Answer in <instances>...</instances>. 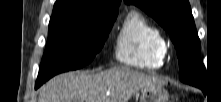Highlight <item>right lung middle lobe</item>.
Returning <instances> with one entry per match:
<instances>
[{"instance_id": "obj_1", "label": "right lung middle lobe", "mask_w": 221, "mask_h": 102, "mask_svg": "<svg viewBox=\"0 0 221 102\" xmlns=\"http://www.w3.org/2000/svg\"><path fill=\"white\" fill-rule=\"evenodd\" d=\"M117 15L118 11L52 14L37 81L44 83L89 64L102 49Z\"/></svg>"}]
</instances>
